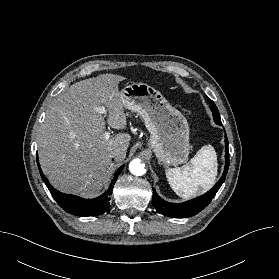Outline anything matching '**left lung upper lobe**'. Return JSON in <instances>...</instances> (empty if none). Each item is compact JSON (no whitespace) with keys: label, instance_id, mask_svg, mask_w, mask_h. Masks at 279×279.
<instances>
[{"label":"left lung upper lobe","instance_id":"left-lung-upper-lobe-1","mask_svg":"<svg viewBox=\"0 0 279 279\" xmlns=\"http://www.w3.org/2000/svg\"><path fill=\"white\" fill-rule=\"evenodd\" d=\"M210 108H211V110H212L213 118H214L215 123H217V124H222V123H221L220 116H219L218 109H217V107H216V105L214 104L213 101L210 102Z\"/></svg>","mask_w":279,"mask_h":279}]
</instances>
